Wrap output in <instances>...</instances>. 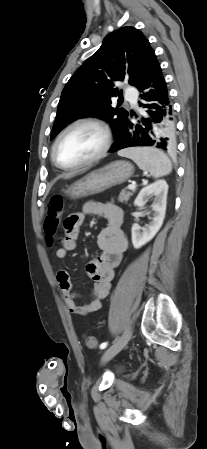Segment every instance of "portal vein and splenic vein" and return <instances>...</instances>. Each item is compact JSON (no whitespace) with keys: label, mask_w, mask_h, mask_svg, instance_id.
Masks as SVG:
<instances>
[{"label":"portal vein and splenic vein","mask_w":207,"mask_h":449,"mask_svg":"<svg viewBox=\"0 0 207 449\" xmlns=\"http://www.w3.org/2000/svg\"><path fill=\"white\" fill-rule=\"evenodd\" d=\"M136 188V185L134 183L128 185V189L134 190Z\"/></svg>","instance_id":"18ae733b"}]
</instances>
